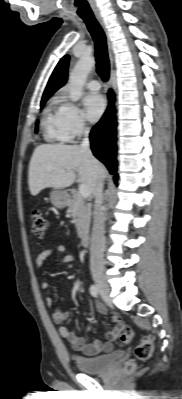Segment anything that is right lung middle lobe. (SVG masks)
I'll return each mask as SVG.
<instances>
[{"label": "right lung middle lobe", "instance_id": "1", "mask_svg": "<svg viewBox=\"0 0 182 399\" xmlns=\"http://www.w3.org/2000/svg\"><path fill=\"white\" fill-rule=\"evenodd\" d=\"M47 99H48V98H42V101H41V106H43V105H44V103L47 101ZM37 130H38V122L36 123V128H35V131L37 132Z\"/></svg>", "mask_w": 182, "mask_h": 399}]
</instances>
